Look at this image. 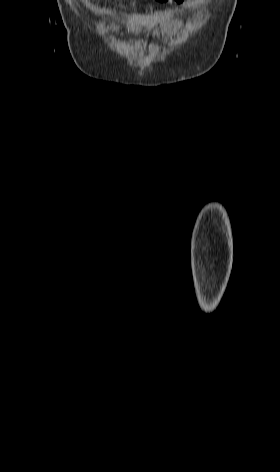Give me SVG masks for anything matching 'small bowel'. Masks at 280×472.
Wrapping results in <instances>:
<instances>
[{
    "instance_id": "small-bowel-1",
    "label": "small bowel",
    "mask_w": 280,
    "mask_h": 472,
    "mask_svg": "<svg viewBox=\"0 0 280 472\" xmlns=\"http://www.w3.org/2000/svg\"><path fill=\"white\" fill-rule=\"evenodd\" d=\"M187 1H188V0H178L177 3H178V4H183V3L187 2Z\"/></svg>"
}]
</instances>
